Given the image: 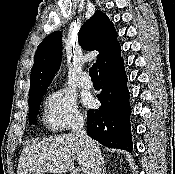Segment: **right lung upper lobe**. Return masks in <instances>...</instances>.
<instances>
[{
	"mask_svg": "<svg viewBox=\"0 0 175 174\" xmlns=\"http://www.w3.org/2000/svg\"><path fill=\"white\" fill-rule=\"evenodd\" d=\"M79 41L83 49L99 51L96 60L99 72L121 55L117 32L112 21L102 11L97 10L81 27ZM61 56L62 35L59 32L52 33L44 39L35 53L30 75L29 101L44 95L59 70Z\"/></svg>",
	"mask_w": 175,
	"mask_h": 174,
	"instance_id": "cb5924a9",
	"label": "right lung upper lobe"
}]
</instances>
